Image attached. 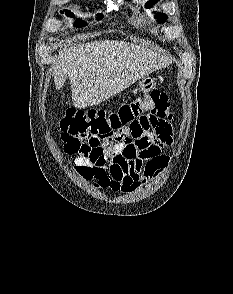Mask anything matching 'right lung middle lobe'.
Returning a JSON list of instances; mask_svg holds the SVG:
<instances>
[{"mask_svg": "<svg viewBox=\"0 0 233 294\" xmlns=\"http://www.w3.org/2000/svg\"><path fill=\"white\" fill-rule=\"evenodd\" d=\"M61 13H63V12L61 11ZM66 15H68V16H70V17L73 16V14H72L70 11H68V10H67V12H66ZM97 18L100 20V19L103 18V16H102L101 14H98V15H97ZM85 25H86V24L81 23V22H76V23H75V26H76V27H83V26H85Z\"/></svg>", "mask_w": 233, "mask_h": 294, "instance_id": "dd1d6c3e", "label": "right lung middle lobe"}]
</instances>
